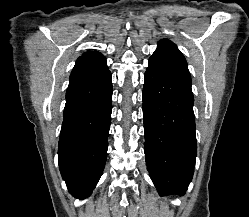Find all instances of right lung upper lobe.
I'll list each match as a JSON object with an SVG mask.
<instances>
[{"label": "right lung upper lobe", "instance_id": "1", "mask_svg": "<svg viewBox=\"0 0 249 217\" xmlns=\"http://www.w3.org/2000/svg\"><path fill=\"white\" fill-rule=\"evenodd\" d=\"M94 53H98L97 51H91V52H87V53H85L84 55H82V56H85V55H89V54H94Z\"/></svg>", "mask_w": 249, "mask_h": 217}]
</instances>
